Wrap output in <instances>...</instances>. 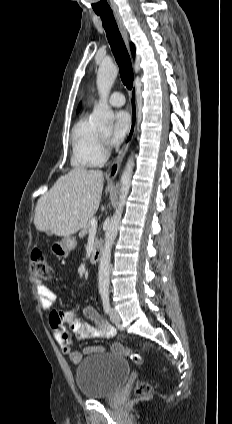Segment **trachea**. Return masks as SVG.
Wrapping results in <instances>:
<instances>
[{"label": "trachea", "instance_id": "3493384b", "mask_svg": "<svg viewBox=\"0 0 232 424\" xmlns=\"http://www.w3.org/2000/svg\"><path fill=\"white\" fill-rule=\"evenodd\" d=\"M106 31L108 42L119 66L123 84L130 90L133 86V69L131 59L118 29L112 12H98Z\"/></svg>", "mask_w": 232, "mask_h": 424}]
</instances>
